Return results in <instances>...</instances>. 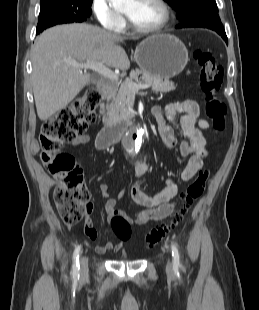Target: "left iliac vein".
Returning a JSON list of instances; mask_svg holds the SVG:
<instances>
[{
  "mask_svg": "<svg viewBox=\"0 0 259 310\" xmlns=\"http://www.w3.org/2000/svg\"><path fill=\"white\" fill-rule=\"evenodd\" d=\"M166 272L168 274H172V272H173L172 261H171L170 257H168V259H167Z\"/></svg>",
  "mask_w": 259,
  "mask_h": 310,
  "instance_id": "left-iliac-vein-1",
  "label": "left iliac vein"
}]
</instances>
